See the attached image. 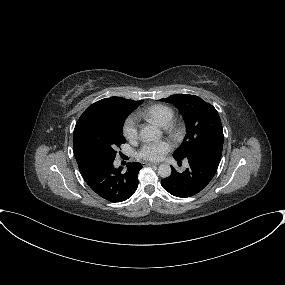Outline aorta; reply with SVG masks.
<instances>
[{
    "instance_id": "aorta-1",
    "label": "aorta",
    "mask_w": 285,
    "mask_h": 285,
    "mask_svg": "<svg viewBox=\"0 0 285 285\" xmlns=\"http://www.w3.org/2000/svg\"><path fill=\"white\" fill-rule=\"evenodd\" d=\"M140 137L142 140L151 141L159 139L162 132L155 126L147 125L140 130ZM171 167L168 164H161L158 167V175L162 178H167L171 175Z\"/></svg>"
}]
</instances>
